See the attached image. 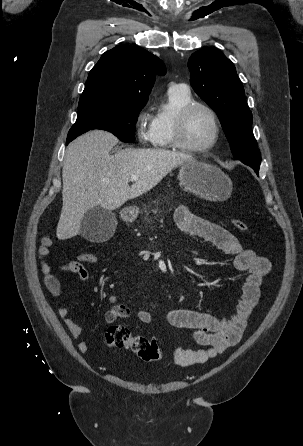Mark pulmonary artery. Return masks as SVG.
Masks as SVG:
<instances>
[{"mask_svg":"<svg viewBox=\"0 0 303 446\" xmlns=\"http://www.w3.org/2000/svg\"><path fill=\"white\" fill-rule=\"evenodd\" d=\"M170 87H181V88L187 89V87L185 85H183V84H175V83L171 84Z\"/></svg>","mask_w":303,"mask_h":446,"instance_id":"pulmonary-artery-1","label":"pulmonary artery"}]
</instances>
